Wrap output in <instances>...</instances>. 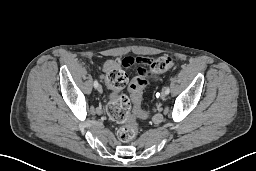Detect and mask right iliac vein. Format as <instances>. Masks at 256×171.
<instances>
[{"instance_id": "obj_1", "label": "right iliac vein", "mask_w": 256, "mask_h": 171, "mask_svg": "<svg viewBox=\"0 0 256 171\" xmlns=\"http://www.w3.org/2000/svg\"><path fill=\"white\" fill-rule=\"evenodd\" d=\"M97 90H98L99 93H102V91H103L102 86H101V85L98 86V87H97Z\"/></svg>"}]
</instances>
